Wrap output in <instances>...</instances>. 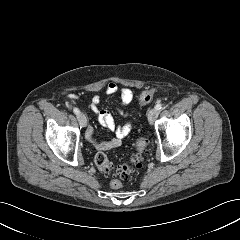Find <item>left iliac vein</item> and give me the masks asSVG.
<instances>
[{
    "label": "left iliac vein",
    "instance_id": "4c4485c4",
    "mask_svg": "<svg viewBox=\"0 0 240 240\" xmlns=\"http://www.w3.org/2000/svg\"><path fill=\"white\" fill-rule=\"evenodd\" d=\"M159 114V111L156 108H152L148 112V121L150 124H153L156 120L157 116Z\"/></svg>",
    "mask_w": 240,
    "mask_h": 240
}]
</instances>
